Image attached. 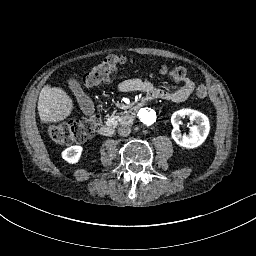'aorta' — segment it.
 <instances>
[{
  "mask_svg": "<svg viewBox=\"0 0 256 256\" xmlns=\"http://www.w3.org/2000/svg\"><path fill=\"white\" fill-rule=\"evenodd\" d=\"M140 119L146 124H153L157 120V113L151 107H144L140 111Z\"/></svg>",
  "mask_w": 256,
  "mask_h": 256,
  "instance_id": "762f6f07",
  "label": "aorta"
}]
</instances>
